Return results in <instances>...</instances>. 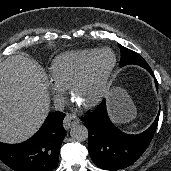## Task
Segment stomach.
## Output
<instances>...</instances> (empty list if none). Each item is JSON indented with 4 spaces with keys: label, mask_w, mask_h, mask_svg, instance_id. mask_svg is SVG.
Here are the masks:
<instances>
[{
    "label": "stomach",
    "mask_w": 171,
    "mask_h": 171,
    "mask_svg": "<svg viewBox=\"0 0 171 171\" xmlns=\"http://www.w3.org/2000/svg\"><path fill=\"white\" fill-rule=\"evenodd\" d=\"M108 105L111 118L116 123H126L136 116V107L125 90L116 87L108 94Z\"/></svg>",
    "instance_id": "stomach-1"
}]
</instances>
